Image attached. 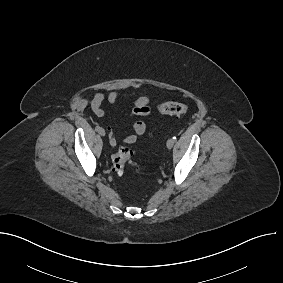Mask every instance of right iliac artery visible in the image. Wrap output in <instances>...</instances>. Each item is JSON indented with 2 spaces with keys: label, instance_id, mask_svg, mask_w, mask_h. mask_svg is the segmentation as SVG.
Here are the masks:
<instances>
[{
  "label": "right iliac artery",
  "instance_id": "1",
  "mask_svg": "<svg viewBox=\"0 0 283 283\" xmlns=\"http://www.w3.org/2000/svg\"><path fill=\"white\" fill-rule=\"evenodd\" d=\"M101 129H102V128H101L100 126H96V127H95V130H96L97 132H99Z\"/></svg>",
  "mask_w": 283,
  "mask_h": 283
}]
</instances>
